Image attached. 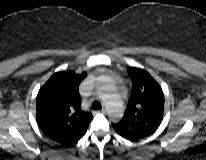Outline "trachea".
Here are the masks:
<instances>
[{
	"label": "trachea",
	"instance_id": "3493384b",
	"mask_svg": "<svg viewBox=\"0 0 206 160\" xmlns=\"http://www.w3.org/2000/svg\"><path fill=\"white\" fill-rule=\"evenodd\" d=\"M92 109H94V110H99V109H101V104H100V102L94 101V102L92 103Z\"/></svg>",
	"mask_w": 206,
	"mask_h": 160
}]
</instances>
